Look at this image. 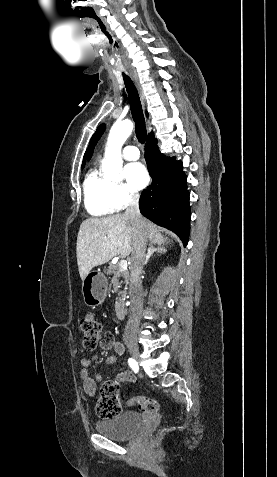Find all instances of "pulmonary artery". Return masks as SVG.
<instances>
[{"mask_svg": "<svg viewBox=\"0 0 277 477\" xmlns=\"http://www.w3.org/2000/svg\"><path fill=\"white\" fill-rule=\"evenodd\" d=\"M123 157L127 160H137L140 156L139 150L135 146H126L122 151Z\"/></svg>", "mask_w": 277, "mask_h": 477, "instance_id": "1", "label": "pulmonary artery"}]
</instances>
